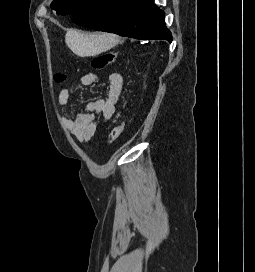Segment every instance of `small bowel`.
I'll use <instances>...</instances> for the list:
<instances>
[{
    "mask_svg": "<svg viewBox=\"0 0 255 272\" xmlns=\"http://www.w3.org/2000/svg\"><path fill=\"white\" fill-rule=\"evenodd\" d=\"M98 81L94 73H87L80 79L81 86H90ZM124 79L120 72L108 75V89L105 98L88 101L86 112L63 118L68 131L80 142H88L94 136L99 119L107 122L116 111L123 91ZM70 100V90L65 88L59 94V102L67 106Z\"/></svg>",
    "mask_w": 255,
    "mask_h": 272,
    "instance_id": "c3829d8e",
    "label": "small bowel"
}]
</instances>
